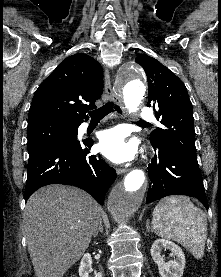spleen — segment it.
<instances>
[{
    "label": "spleen",
    "instance_id": "spleen-1",
    "mask_svg": "<svg viewBox=\"0 0 221 277\" xmlns=\"http://www.w3.org/2000/svg\"><path fill=\"white\" fill-rule=\"evenodd\" d=\"M152 227L158 236L180 243L196 259L203 257L207 219L188 197L170 196L159 201L153 211Z\"/></svg>",
    "mask_w": 221,
    "mask_h": 277
}]
</instances>
